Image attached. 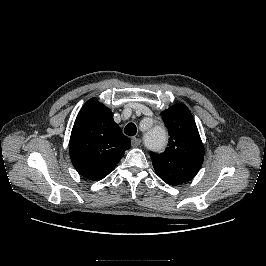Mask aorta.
Returning <instances> with one entry per match:
<instances>
[{
	"mask_svg": "<svg viewBox=\"0 0 266 266\" xmlns=\"http://www.w3.org/2000/svg\"><path fill=\"white\" fill-rule=\"evenodd\" d=\"M167 141V134L164 127L160 125H152V127L144 135V144L151 150L162 149Z\"/></svg>",
	"mask_w": 266,
	"mask_h": 266,
	"instance_id": "762f6f07",
	"label": "aorta"
}]
</instances>
